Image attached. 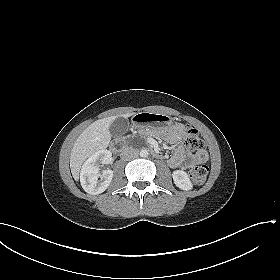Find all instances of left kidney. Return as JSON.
Segmentation results:
<instances>
[{
  "mask_svg": "<svg viewBox=\"0 0 280 280\" xmlns=\"http://www.w3.org/2000/svg\"><path fill=\"white\" fill-rule=\"evenodd\" d=\"M174 183L182 190H191L193 185L189 179L188 174L183 170H175L172 174Z\"/></svg>",
  "mask_w": 280,
  "mask_h": 280,
  "instance_id": "left-kidney-1",
  "label": "left kidney"
}]
</instances>
